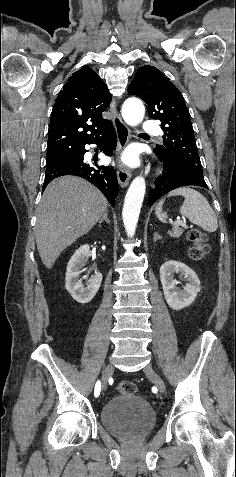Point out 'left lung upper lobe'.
Segmentation results:
<instances>
[{
    "mask_svg": "<svg viewBox=\"0 0 236 477\" xmlns=\"http://www.w3.org/2000/svg\"><path fill=\"white\" fill-rule=\"evenodd\" d=\"M147 104L149 117L161 121L163 145L154 152L203 177L190 114L179 90L157 68L141 67L128 87Z\"/></svg>",
    "mask_w": 236,
    "mask_h": 477,
    "instance_id": "1",
    "label": "left lung upper lobe"
}]
</instances>
